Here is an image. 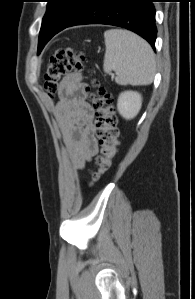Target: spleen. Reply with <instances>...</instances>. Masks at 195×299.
<instances>
[{"label": "spleen", "mask_w": 195, "mask_h": 299, "mask_svg": "<svg viewBox=\"0 0 195 299\" xmlns=\"http://www.w3.org/2000/svg\"><path fill=\"white\" fill-rule=\"evenodd\" d=\"M106 52L103 69L115 71L119 85H149L156 72L155 55L151 46L131 31H105Z\"/></svg>", "instance_id": "3e777b00"}]
</instances>
